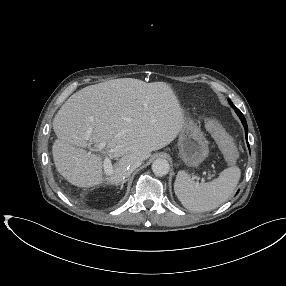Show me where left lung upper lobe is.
I'll list each match as a JSON object with an SVG mask.
<instances>
[{
  "instance_id": "5c2ea615",
  "label": "left lung upper lobe",
  "mask_w": 286,
  "mask_h": 286,
  "mask_svg": "<svg viewBox=\"0 0 286 286\" xmlns=\"http://www.w3.org/2000/svg\"><path fill=\"white\" fill-rule=\"evenodd\" d=\"M229 104H230L231 106H234V105H233V103H232L231 101H229Z\"/></svg>"
}]
</instances>
